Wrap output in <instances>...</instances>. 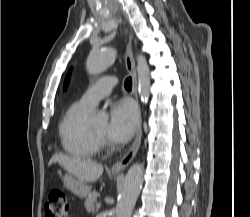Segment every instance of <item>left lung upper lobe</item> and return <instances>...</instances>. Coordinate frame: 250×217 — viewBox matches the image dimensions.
Segmentation results:
<instances>
[{
  "mask_svg": "<svg viewBox=\"0 0 250 217\" xmlns=\"http://www.w3.org/2000/svg\"><path fill=\"white\" fill-rule=\"evenodd\" d=\"M69 84V74L67 75L65 81H64V85H63V89L66 90Z\"/></svg>",
  "mask_w": 250,
  "mask_h": 217,
  "instance_id": "5c2ea615",
  "label": "left lung upper lobe"
}]
</instances>
